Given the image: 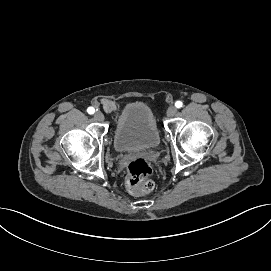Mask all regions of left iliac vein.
Listing matches in <instances>:
<instances>
[{
    "label": "left iliac vein",
    "mask_w": 271,
    "mask_h": 271,
    "mask_svg": "<svg viewBox=\"0 0 271 271\" xmlns=\"http://www.w3.org/2000/svg\"><path fill=\"white\" fill-rule=\"evenodd\" d=\"M176 113H177V108H176L175 106H171V107H169V108L167 109V115H168L169 117L175 116Z\"/></svg>",
    "instance_id": "left-iliac-vein-1"
}]
</instances>
